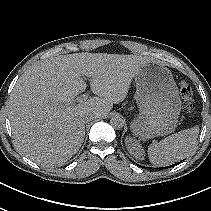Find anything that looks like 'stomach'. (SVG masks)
<instances>
[{
  "mask_svg": "<svg viewBox=\"0 0 211 211\" xmlns=\"http://www.w3.org/2000/svg\"><path fill=\"white\" fill-rule=\"evenodd\" d=\"M138 116L133 134L140 140L172 133L181 112V99L171 71L154 61L146 62L135 75Z\"/></svg>",
  "mask_w": 211,
  "mask_h": 211,
  "instance_id": "0dacf381",
  "label": "stomach"
}]
</instances>
